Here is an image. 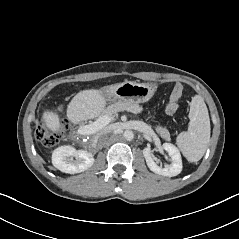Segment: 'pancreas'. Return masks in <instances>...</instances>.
<instances>
[{
    "mask_svg": "<svg viewBox=\"0 0 239 239\" xmlns=\"http://www.w3.org/2000/svg\"><path fill=\"white\" fill-rule=\"evenodd\" d=\"M143 107L140 106L138 103H130V102H116L111 104L104 110V114L113 115L119 111H128L134 114L141 113ZM156 132L160 135L161 138L165 139L166 141H170V133L166 127L157 126L155 127Z\"/></svg>",
    "mask_w": 239,
    "mask_h": 239,
    "instance_id": "cf45deb5",
    "label": "pancreas"
}]
</instances>
